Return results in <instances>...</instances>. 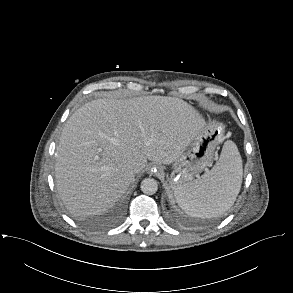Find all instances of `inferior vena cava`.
Returning <instances> with one entry per match:
<instances>
[{"instance_id":"1","label":"inferior vena cava","mask_w":293,"mask_h":293,"mask_svg":"<svg viewBox=\"0 0 293 293\" xmlns=\"http://www.w3.org/2000/svg\"><path fill=\"white\" fill-rule=\"evenodd\" d=\"M129 171L132 173H138L140 172V167L138 164H132L129 166Z\"/></svg>"}]
</instances>
